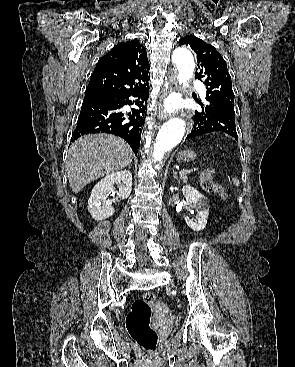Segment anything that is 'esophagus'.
I'll use <instances>...</instances> for the list:
<instances>
[{
  "mask_svg": "<svg viewBox=\"0 0 295 367\" xmlns=\"http://www.w3.org/2000/svg\"><path fill=\"white\" fill-rule=\"evenodd\" d=\"M176 89H177L176 70L172 69L170 71L169 81L166 85V90L164 91L162 95L163 100L169 93H171L172 91H175ZM169 117H170V114L165 112L162 105L160 104L159 109H158V118L160 120H165V119H168Z\"/></svg>",
  "mask_w": 295,
  "mask_h": 367,
  "instance_id": "obj_1",
  "label": "esophagus"
}]
</instances>
